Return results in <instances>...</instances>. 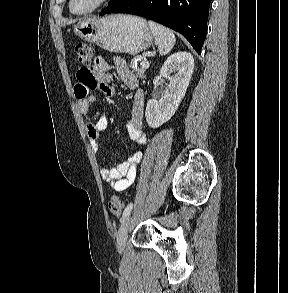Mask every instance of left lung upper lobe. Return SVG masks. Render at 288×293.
Returning <instances> with one entry per match:
<instances>
[{"label": "left lung upper lobe", "instance_id": "1", "mask_svg": "<svg viewBox=\"0 0 288 293\" xmlns=\"http://www.w3.org/2000/svg\"><path fill=\"white\" fill-rule=\"evenodd\" d=\"M114 0H111L108 4H110L111 2H113Z\"/></svg>", "mask_w": 288, "mask_h": 293}]
</instances>
